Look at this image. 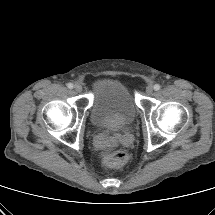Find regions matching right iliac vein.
Returning <instances> with one entry per match:
<instances>
[{"instance_id":"right-iliac-vein-1","label":"right iliac vein","mask_w":215,"mask_h":215,"mask_svg":"<svg viewBox=\"0 0 215 215\" xmlns=\"http://www.w3.org/2000/svg\"><path fill=\"white\" fill-rule=\"evenodd\" d=\"M74 90L76 91V92H81L82 91V86L81 85H79V84H76L75 86H74Z\"/></svg>"}]
</instances>
